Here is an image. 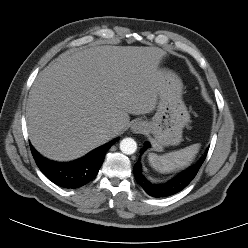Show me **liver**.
Here are the masks:
<instances>
[{
  "instance_id": "6515ba94",
  "label": "liver",
  "mask_w": 248,
  "mask_h": 248,
  "mask_svg": "<svg viewBox=\"0 0 248 248\" xmlns=\"http://www.w3.org/2000/svg\"><path fill=\"white\" fill-rule=\"evenodd\" d=\"M165 55L158 47L110 45L61 54L30 90L32 145L49 159L69 161L123 133L129 114L156 108L165 89L158 67Z\"/></svg>"
}]
</instances>
